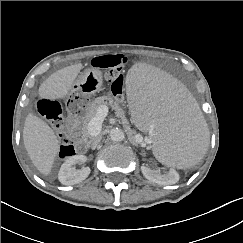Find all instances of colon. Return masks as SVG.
<instances>
[{
  "mask_svg": "<svg viewBox=\"0 0 243 243\" xmlns=\"http://www.w3.org/2000/svg\"><path fill=\"white\" fill-rule=\"evenodd\" d=\"M126 62L127 58L121 54L98 56L92 61L94 68L105 71L106 79L111 82V90L119 99L122 98L124 92L122 71ZM38 111L60 133V157L68 158L74 155L77 142L65 129L64 116L60 103L53 99L42 98L38 102Z\"/></svg>",
  "mask_w": 243,
  "mask_h": 243,
  "instance_id": "obj_1",
  "label": "colon"
}]
</instances>
